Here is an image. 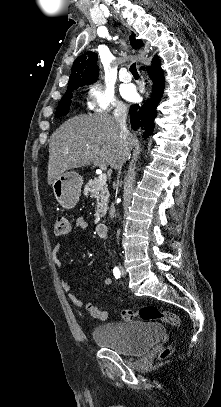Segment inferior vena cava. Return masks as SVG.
Masks as SVG:
<instances>
[{"label": "inferior vena cava", "mask_w": 221, "mask_h": 407, "mask_svg": "<svg viewBox=\"0 0 221 407\" xmlns=\"http://www.w3.org/2000/svg\"><path fill=\"white\" fill-rule=\"evenodd\" d=\"M114 119L116 123L119 125L120 132H121V140L124 148V154L128 151V141L130 132L127 128L126 119H127V107L124 104H118L114 110ZM123 165V161H121L117 166L116 169L119 170V174Z\"/></svg>", "instance_id": "inferior-vena-cava-1"}]
</instances>
